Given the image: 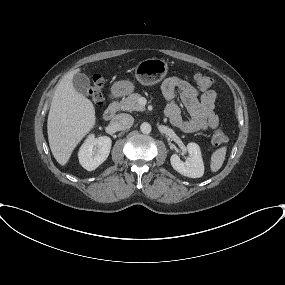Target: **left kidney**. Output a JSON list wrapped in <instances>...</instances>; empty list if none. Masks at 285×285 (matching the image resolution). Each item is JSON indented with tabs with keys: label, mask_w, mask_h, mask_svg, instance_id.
I'll return each mask as SVG.
<instances>
[{
	"label": "left kidney",
	"mask_w": 285,
	"mask_h": 285,
	"mask_svg": "<svg viewBox=\"0 0 285 285\" xmlns=\"http://www.w3.org/2000/svg\"><path fill=\"white\" fill-rule=\"evenodd\" d=\"M187 151L189 156L185 162L181 161L177 154L171 156L170 162L173 169L186 177H202L204 174V163L199 145L191 142L187 145Z\"/></svg>",
	"instance_id": "5707ae66"
}]
</instances>
